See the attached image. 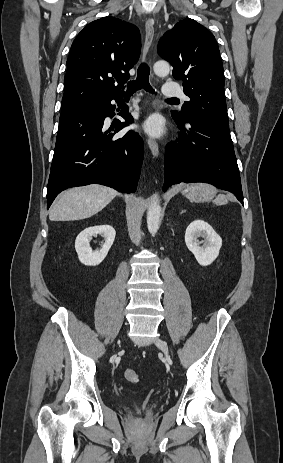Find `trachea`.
Listing matches in <instances>:
<instances>
[{
    "instance_id": "trachea-1",
    "label": "trachea",
    "mask_w": 283,
    "mask_h": 463,
    "mask_svg": "<svg viewBox=\"0 0 283 463\" xmlns=\"http://www.w3.org/2000/svg\"><path fill=\"white\" fill-rule=\"evenodd\" d=\"M149 73L150 69L147 64L143 63L139 66L137 71V78L136 80L130 81L127 85L128 94H133L137 90L144 89L147 92L154 93L153 88L150 86L149 83ZM169 100L177 101L176 98H170Z\"/></svg>"
}]
</instances>
